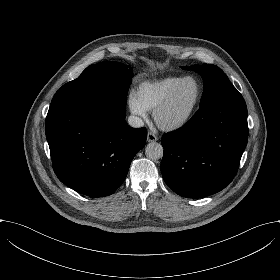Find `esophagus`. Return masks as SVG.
<instances>
[{
  "mask_svg": "<svg viewBox=\"0 0 280 280\" xmlns=\"http://www.w3.org/2000/svg\"><path fill=\"white\" fill-rule=\"evenodd\" d=\"M157 140H158L157 135H155L152 132H148V134H147V142H155Z\"/></svg>",
  "mask_w": 280,
  "mask_h": 280,
  "instance_id": "esophagus-1",
  "label": "esophagus"
}]
</instances>
